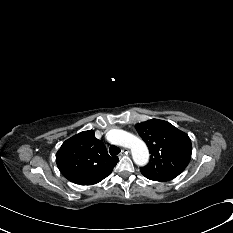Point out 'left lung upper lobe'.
Here are the masks:
<instances>
[{
	"label": "left lung upper lobe",
	"instance_id": "obj_1",
	"mask_svg": "<svg viewBox=\"0 0 233 233\" xmlns=\"http://www.w3.org/2000/svg\"><path fill=\"white\" fill-rule=\"evenodd\" d=\"M150 151V161L141 173L154 181H169L189 164L192 154L188 135L167 121L151 119L135 125Z\"/></svg>",
	"mask_w": 233,
	"mask_h": 233
}]
</instances>
